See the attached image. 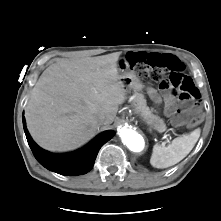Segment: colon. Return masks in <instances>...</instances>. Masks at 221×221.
I'll return each instance as SVG.
<instances>
[{
  "instance_id": "5ec220e1",
  "label": "colon",
  "mask_w": 221,
  "mask_h": 221,
  "mask_svg": "<svg viewBox=\"0 0 221 221\" xmlns=\"http://www.w3.org/2000/svg\"><path fill=\"white\" fill-rule=\"evenodd\" d=\"M140 57L135 53L128 54L130 69L140 77L158 82L163 90L179 95L182 106L176 112L175 120L186 122L189 127L198 125L201 116L191 112V106L197 100L199 92L193 80L185 74L184 64L177 57L168 54L150 53L146 62H142Z\"/></svg>"
}]
</instances>
